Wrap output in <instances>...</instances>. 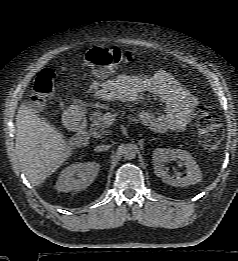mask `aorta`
I'll return each mask as SVG.
<instances>
[{"instance_id":"obj_1","label":"aorta","mask_w":238,"mask_h":261,"mask_svg":"<svg viewBox=\"0 0 238 261\" xmlns=\"http://www.w3.org/2000/svg\"><path fill=\"white\" fill-rule=\"evenodd\" d=\"M122 154H123V157L127 160L134 159L137 154V146L132 143H128V144L124 145L122 148Z\"/></svg>"}]
</instances>
